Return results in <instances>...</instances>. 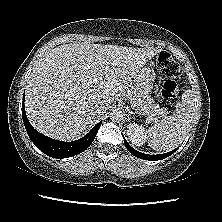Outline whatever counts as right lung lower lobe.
Listing matches in <instances>:
<instances>
[{
  "mask_svg": "<svg viewBox=\"0 0 222 222\" xmlns=\"http://www.w3.org/2000/svg\"><path fill=\"white\" fill-rule=\"evenodd\" d=\"M22 118L28 136L34 145L43 153L53 158H68L85 151L93 142L98 129L102 124V122L96 124L88 134L79 140L73 142H63L49 138L39 133L31 126L26 117L24 102L22 103Z\"/></svg>",
  "mask_w": 222,
  "mask_h": 222,
  "instance_id": "98d812e1",
  "label": "right lung lower lobe"
}]
</instances>
